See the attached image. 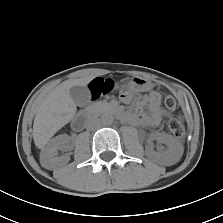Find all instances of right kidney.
<instances>
[{
	"label": "right kidney",
	"instance_id": "ca27d5eb",
	"mask_svg": "<svg viewBox=\"0 0 223 223\" xmlns=\"http://www.w3.org/2000/svg\"><path fill=\"white\" fill-rule=\"evenodd\" d=\"M69 136L62 134L53 138L40 153V162L43 167L52 169L59 163H68L70 156L63 154L58 156V151L69 146Z\"/></svg>",
	"mask_w": 223,
	"mask_h": 223
}]
</instances>
